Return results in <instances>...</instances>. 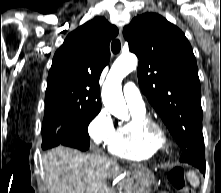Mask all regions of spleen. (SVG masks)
I'll use <instances>...</instances> for the list:
<instances>
[{"instance_id":"obj_1","label":"spleen","mask_w":221,"mask_h":193,"mask_svg":"<svg viewBox=\"0 0 221 193\" xmlns=\"http://www.w3.org/2000/svg\"><path fill=\"white\" fill-rule=\"evenodd\" d=\"M187 178L190 184L193 187L199 186V178L197 177L196 173L194 171H190L187 173Z\"/></svg>"}]
</instances>
